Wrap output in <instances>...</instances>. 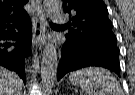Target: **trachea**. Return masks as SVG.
<instances>
[{"mask_svg": "<svg viewBox=\"0 0 135 95\" xmlns=\"http://www.w3.org/2000/svg\"><path fill=\"white\" fill-rule=\"evenodd\" d=\"M50 25H52V26H61V25H58V24H54V23H50Z\"/></svg>", "mask_w": 135, "mask_h": 95, "instance_id": "1", "label": "trachea"}]
</instances>
